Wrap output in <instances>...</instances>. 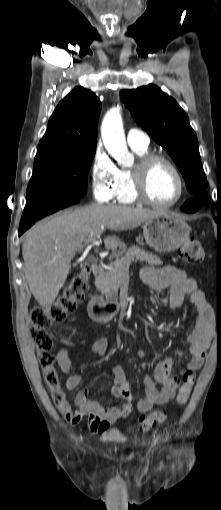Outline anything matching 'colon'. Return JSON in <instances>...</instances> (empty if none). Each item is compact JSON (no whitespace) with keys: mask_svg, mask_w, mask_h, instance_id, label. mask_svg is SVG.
I'll return each instance as SVG.
<instances>
[{"mask_svg":"<svg viewBox=\"0 0 221 510\" xmlns=\"http://www.w3.org/2000/svg\"><path fill=\"white\" fill-rule=\"evenodd\" d=\"M179 257L189 263H201L204 260V250L199 240L193 237L189 238L180 248ZM88 285L89 269L84 268L66 283L61 294L53 303L45 306H33L30 309L32 324L30 336L37 346V357L44 382L51 388L52 400L57 407L64 403L65 395L59 387V376L54 367L53 339L45 328L53 323L63 322L76 309L77 304L83 300ZM194 382V372L186 371L175 398V406L179 407L187 402ZM128 394V391H123L122 396L127 397ZM124 413L127 416V410ZM165 418L166 414L162 410H155L143 415L139 420V430L147 432L162 423Z\"/></svg>","mask_w":221,"mask_h":510,"instance_id":"5ec220e1","label":"colon"}]
</instances>
